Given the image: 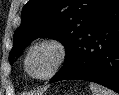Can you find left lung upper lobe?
Returning a JSON list of instances; mask_svg holds the SVG:
<instances>
[{
    "label": "left lung upper lobe",
    "mask_w": 119,
    "mask_h": 95,
    "mask_svg": "<svg viewBox=\"0 0 119 95\" xmlns=\"http://www.w3.org/2000/svg\"><path fill=\"white\" fill-rule=\"evenodd\" d=\"M112 1L29 0L22 9L21 25L14 33L10 63L13 64L14 59L33 40L48 36L66 47L64 66L60 71L69 68L84 33Z\"/></svg>",
    "instance_id": "1"
}]
</instances>
